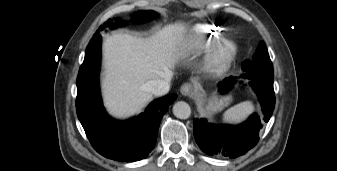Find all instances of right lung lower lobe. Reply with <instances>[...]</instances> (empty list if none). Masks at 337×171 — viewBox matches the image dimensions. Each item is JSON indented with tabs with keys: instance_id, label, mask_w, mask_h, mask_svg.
Instances as JSON below:
<instances>
[{
	"instance_id": "right-lung-lower-lobe-1",
	"label": "right lung lower lobe",
	"mask_w": 337,
	"mask_h": 171,
	"mask_svg": "<svg viewBox=\"0 0 337 171\" xmlns=\"http://www.w3.org/2000/svg\"><path fill=\"white\" fill-rule=\"evenodd\" d=\"M100 59L101 35L96 34L88 44L77 76L78 118L98 153L116 161H139L154 148L160 121L177 95L153 101L144 113L128 122L111 119L99 94Z\"/></svg>"
}]
</instances>
